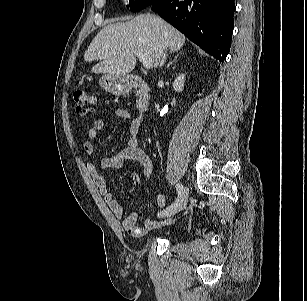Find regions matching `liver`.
Instances as JSON below:
<instances>
[{"label": "liver", "mask_w": 307, "mask_h": 301, "mask_svg": "<svg viewBox=\"0 0 307 301\" xmlns=\"http://www.w3.org/2000/svg\"><path fill=\"white\" fill-rule=\"evenodd\" d=\"M184 35L153 14H140L130 21L112 23L104 27L85 52L87 62L100 60L91 72L124 76L136 65L137 53L152 58L157 68L164 49L180 50Z\"/></svg>", "instance_id": "1"}]
</instances>
